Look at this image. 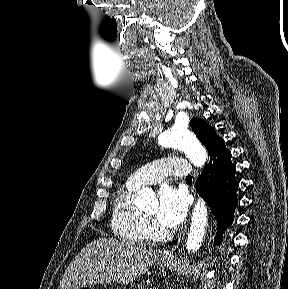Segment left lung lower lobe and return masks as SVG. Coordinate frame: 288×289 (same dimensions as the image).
<instances>
[{
    "label": "left lung lower lobe",
    "instance_id": "0a47b994",
    "mask_svg": "<svg viewBox=\"0 0 288 289\" xmlns=\"http://www.w3.org/2000/svg\"><path fill=\"white\" fill-rule=\"evenodd\" d=\"M209 155L210 161L199 176L196 189L217 219L215 244H219L224 231L234 219L233 213L238 205V181L235 177L236 168L231 161V152L226 148L223 139Z\"/></svg>",
    "mask_w": 288,
    "mask_h": 289
}]
</instances>
